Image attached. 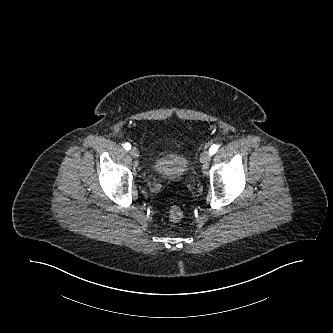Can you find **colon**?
I'll return each mask as SVG.
<instances>
[{"instance_id": "obj_1", "label": "colon", "mask_w": 333, "mask_h": 333, "mask_svg": "<svg viewBox=\"0 0 333 333\" xmlns=\"http://www.w3.org/2000/svg\"><path fill=\"white\" fill-rule=\"evenodd\" d=\"M168 217L171 221L177 222L182 219L183 211L179 206L173 205L168 209Z\"/></svg>"}]
</instances>
